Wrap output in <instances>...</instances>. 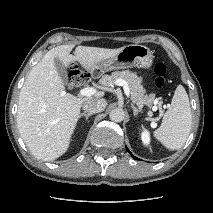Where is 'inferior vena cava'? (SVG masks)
Instances as JSON below:
<instances>
[{
  "label": "inferior vena cava",
  "instance_id": "1",
  "mask_svg": "<svg viewBox=\"0 0 213 213\" xmlns=\"http://www.w3.org/2000/svg\"><path fill=\"white\" fill-rule=\"evenodd\" d=\"M107 102L105 99H90L84 102L83 110L88 113H99L105 110Z\"/></svg>",
  "mask_w": 213,
  "mask_h": 213
}]
</instances>
